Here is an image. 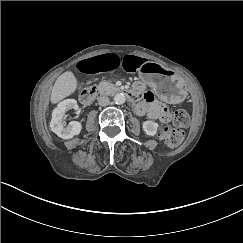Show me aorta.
Returning <instances> with one entry per match:
<instances>
[{
    "instance_id": "obj_1",
    "label": "aorta",
    "mask_w": 243,
    "mask_h": 243,
    "mask_svg": "<svg viewBox=\"0 0 243 243\" xmlns=\"http://www.w3.org/2000/svg\"><path fill=\"white\" fill-rule=\"evenodd\" d=\"M125 100H126V97L123 93H117L114 96V102L116 104H123L125 102Z\"/></svg>"
}]
</instances>
